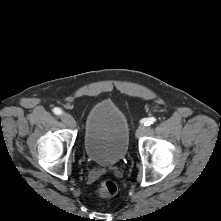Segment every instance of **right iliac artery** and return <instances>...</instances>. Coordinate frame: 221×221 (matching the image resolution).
Here are the masks:
<instances>
[{
    "mask_svg": "<svg viewBox=\"0 0 221 221\" xmlns=\"http://www.w3.org/2000/svg\"><path fill=\"white\" fill-rule=\"evenodd\" d=\"M53 112L56 114V115H60L62 113V110L58 107L54 108L53 109Z\"/></svg>",
    "mask_w": 221,
    "mask_h": 221,
    "instance_id": "82829eb1",
    "label": "right iliac artery"
}]
</instances>
